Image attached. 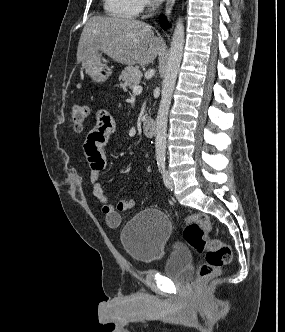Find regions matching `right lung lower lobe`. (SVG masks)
Listing matches in <instances>:
<instances>
[{"label":"right lung lower lobe","mask_w":285,"mask_h":332,"mask_svg":"<svg viewBox=\"0 0 285 332\" xmlns=\"http://www.w3.org/2000/svg\"><path fill=\"white\" fill-rule=\"evenodd\" d=\"M160 22H161L162 28L166 29L168 26V21L166 20L165 16H161Z\"/></svg>","instance_id":"1"}]
</instances>
